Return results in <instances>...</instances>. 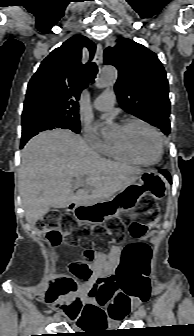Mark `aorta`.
<instances>
[{"label":"aorta","instance_id":"aorta-1","mask_svg":"<svg viewBox=\"0 0 194 336\" xmlns=\"http://www.w3.org/2000/svg\"><path fill=\"white\" fill-rule=\"evenodd\" d=\"M117 79V70L113 66H105L101 69L99 77L96 81V87L98 88H105L108 86H112ZM100 134L108 139L112 136L113 130L107 124H100L99 125Z\"/></svg>","mask_w":194,"mask_h":336}]
</instances>
